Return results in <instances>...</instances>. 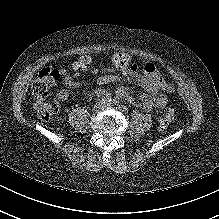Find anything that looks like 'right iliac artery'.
<instances>
[{
	"label": "right iliac artery",
	"mask_w": 219,
	"mask_h": 219,
	"mask_svg": "<svg viewBox=\"0 0 219 219\" xmlns=\"http://www.w3.org/2000/svg\"><path fill=\"white\" fill-rule=\"evenodd\" d=\"M101 100H102V103H110L113 101L110 95L103 96Z\"/></svg>",
	"instance_id": "right-iliac-artery-1"
}]
</instances>
